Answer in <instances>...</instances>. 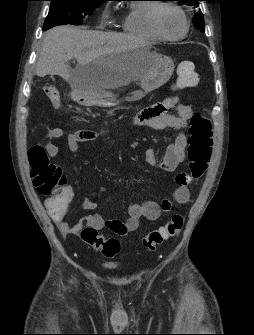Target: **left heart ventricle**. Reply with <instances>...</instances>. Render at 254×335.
I'll list each match as a JSON object with an SVG mask.
<instances>
[{
  "label": "left heart ventricle",
  "mask_w": 254,
  "mask_h": 335,
  "mask_svg": "<svg viewBox=\"0 0 254 335\" xmlns=\"http://www.w3.org/2000/svg\"><path fill=\"white\" fill-rule=\"evenodd\" d=\"M159 27L167 36H178L184 30V21L174 9L163 8L159 13Z\"/></svg>",
  "instance_id": "b2bd125f"
}]
</instances>
